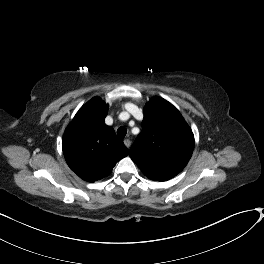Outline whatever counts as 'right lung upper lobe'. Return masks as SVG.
Masks as SVG:
<instances>
[{
	"mask_svg": "<svg viewBox=\"0 0 264 264\" xmlns=\"http://www.w3.org/2000/svg\"><path fill=\"white\" fill-rule=\"evenodd\" d=\"M108 105L95 97L83 105L65 129L62 149L70 169L95 182L109 175L129 152L114 130L105 124Z\"/></svg>",
	"mask_w": 264,
	"mask_h": 264,
	"instance_id": "obj_1",
	"label": "right lung upper lobe"
}]
</instances>
